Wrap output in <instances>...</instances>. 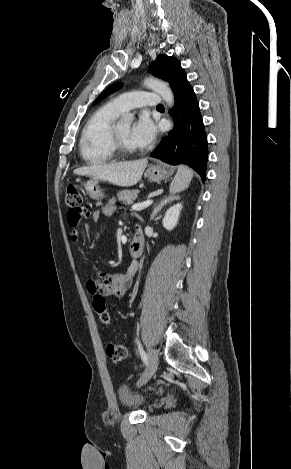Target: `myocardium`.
<instances>
[{"mask_svg":"<svg viewBox=\"0 0 291 469\" xmlns=\"http://www.w3.org/2000/svg\"><path fill=\"white\" fill-rule=\"evenodd\" d=\"M110 141L115 154L118 155H132L137 152V149L128 147L120 138L117 125H113L110 131Z\"/></svg>","mask_w":291,"mask_h":469,"instance_id":"myocardium-1","label":"myocardium"}]
</instances>
